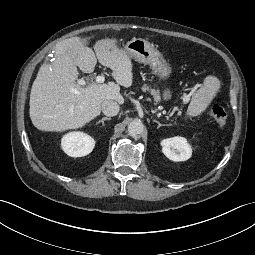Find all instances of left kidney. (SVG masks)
Here are the masks:
<instances>
[{
    "mask_svg": "<svg viewBox=\"0 0 255 255\" xmlns=\"http://www.w3.org/2000/svg\"><path fill=\"white\" fill-rule=\"evenodd\" d=\"M162 152L172 161H186L192 155V148L183 137H172L161 141Z\"/></svg>",
    "mask_w": 255,
    "mask_h": 255,
    "instance_id": "obj_1",
    "label": "left kidney"
}]
</instances>
